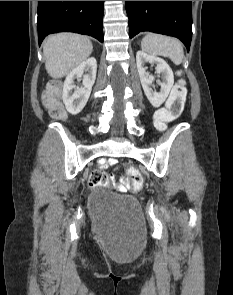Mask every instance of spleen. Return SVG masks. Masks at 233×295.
Returning <instances> with one entry per match:
<instances>
[{
	"label": "spleen",
	"instance_id": "obj_1",
	"mask_svg": "<svg viewBox=\"0 0 233 295\" xmlns=\"http://www.w3.org/2000/svg\"><path fill=\"white\" fill-rule=\"evenodd\" d=\"M143 51L152 54L169 57L175 64H180L184 57L182 43L173 37L148 33L141 42Z\"/></svg>",
	"mask_w": 233,
	"mask_h": 295
}]
</instances>
